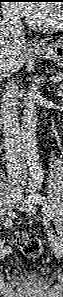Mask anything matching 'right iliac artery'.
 Listing matches in <instances>:
<instances>
[{"mask_svg": "<svg viewBox=\"0 0 63 297\" xmlns=\"http://www.w3.org/2000/svg\"><path fill=\"white\" fill-rule=\"evenodd\" d=\"M7 206H8V209H9V200L7 201ZM8 215H9V217L12 216V211L10 209L8 211ZM9 217L6 218V220L4 222L5 227H10L12 225V221H11V219ZM5 250L8 251L9 253L11 252V248L8 247V246L5 248Z\"/></svg>", "mask_w": 63, "mask_h": 297, "instance_id": "right-iliac-artery-1", "label": "right iliac artery"}]
</instances>
